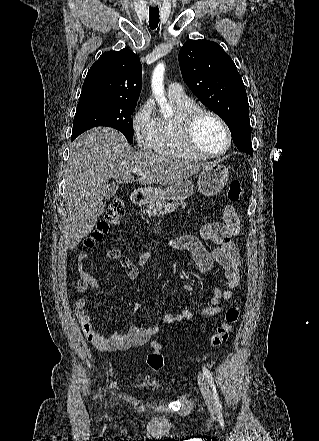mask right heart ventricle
Segmentation results:
<instances>
[{
    "label": "right heart ventricle",
    "instance_id": "right-heart-ventricle-1",
    "mask_svg": "<svg viewBox=\"0 0 319 441\" xmlns=\"http://www.w3.org/2000/svg\"><path fill=\"white\" fill-rule=\"evenodd\" d=\"M171 101L175 107V115L171 118L158 120L157 135L151 150L161 156L199 160L200 157L190 153L183 146L179 128L180 117L197 106L190 99L186 101Z\"/></svg>",
    "mask_w": 319,
    "mask_h": 441
}]
</instances>
